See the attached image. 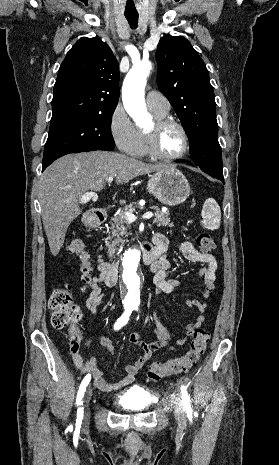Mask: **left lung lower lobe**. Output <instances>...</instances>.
<instances>
[{"label": "left lung lower lobe", "instance_id": "1", "mask_svg": "<svg viewBox=\"0 0 279 465\" xmlns=\"http://www.w3.org/2000/svg\"><path fill=\"white\" fill-rule=\"evenodd\" d=\"M178 161H179V160H178ZM183 162H184V161H183ZM220 180H222V181H223V183L225 184V182H224V178H221Z\"/></svg>", "mask_w": 279, "mask_h": 465}]
</instances>
